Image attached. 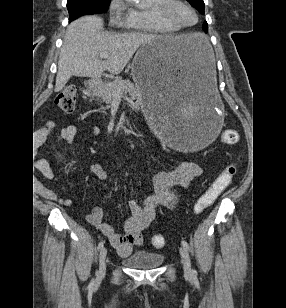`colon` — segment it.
I'll use <instances>...</instances> for the list:
<instances>
[{
  "label": "colon",
  "instance_id": "1",
  "mask_svg": "<svg viewBox=\"0 0 286 308\" xmlns=\"http://www.w3.org/2000/svg\"><path fill=\"white\" fill-rule=\"evenodd\" d=\"M76 101L77 88L75 86H68L55 96L54 104L63 112L69 113L75 109ZM239 138V133L234 129H226L221 134L222 141L227 145H236L239 142ZM236 173V162H231L225 166L196 201L194 205L195 213H201L205 208L213 204L220 194L232 183ZM152 245L156 248L164 247V237L162 235H154L152 237Z\"/></svg>",
  "mask_w": 286,
  "mask_h": 308
}]
</instances>
